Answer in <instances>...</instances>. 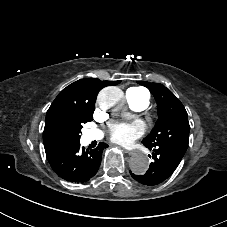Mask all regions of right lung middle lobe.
<instances>
[{"mask_svg": "<svg viewBox=\"0 0 227 227\" xmlns=\"http://www.w3.org/2000/svg\"><path fill=\"white\" fill-rule=\"evenodd\" d=\"M94 106L63 102L47 116L43 136L56 149L79 143L82 124L93 120Z\"/></svg>", "mask_w": 227, "mask_h": 227, "instance_id": "1", "label": "right lung middle lobe"}]
</instances>
